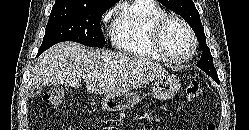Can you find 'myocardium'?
I'll use <instances>...</instances> for the list:
<instances>
[{
    "label": "myocardium",
    "mask_w": 249,
    "mask_h": 130,
    "mask_svg": "<svg viewBox=\"0 0 249 130\" xmlns=\"http://www.w3.org/2000/svg\"><path fill=\"white\" fill-rule=\"evenodd\" d=\"M171 22L180 23L184 27V29L187 31L190 37L191 49L188 55H186L185 57L176 58L170 55L164 46V33H165L167 26ZM151 37H152L153 46L155 50L157 51V53L162 57V59H164L165 61L171 62V63H175V64L186 63L192 59V57L195 55L196 50H197V45H198L197 38L192 27L184 18L178 15L167 14L163 16L162 18H160L159 20H157L152 28Z\"/></svg>",
    "instance_id": "1"
}]
</instances>
